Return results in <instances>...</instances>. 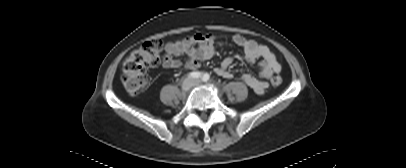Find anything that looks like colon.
Wrapping results in <instances>:
<instances>
[{"label": "colon", "mask_w": 406, "mask_h": 168, "mask_svg": "<svg viewBox=\"0 0 406 168\" xmlns=\"http://www.w3.org/2000/svg\"><path fill=\"white\" fill-rule=\"evenodd\" d=\"M163 43L160 39H150L131 52L124 60L121 70V82L130 95H137L148 84V69L160 64ZM271 83L279 86L282 78L278 73L271 76Z\"/></svg>", "instance_id": "5ec220e1"}]
</instances>
